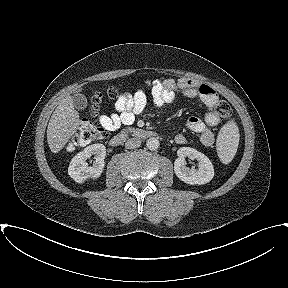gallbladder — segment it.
Segmentation results:
<instances>
[{"label": "gallbladder", "instance_id": "obj_1", "mask_svg": "<svg viewBox=\"0 0 288 288\" xmlns=\"http://www.w3.org/2000/svg\"><path fill=\"white\" fill-rule=\"evenodd\" d=\"M72 99H73L74 107L76 109L82 110L87 107V98L85 97V95L77 93V94H74Z\"/></svg>", "mask_w": 288, "mask_h": 288}]
</instances>
